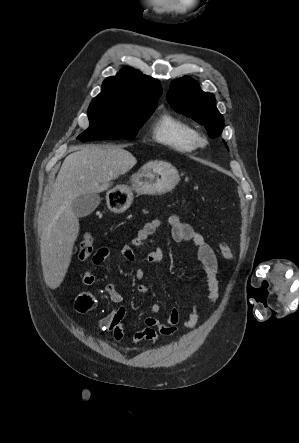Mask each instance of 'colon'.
Here are the masks:
<instances>
[{"mask_svg":"<svg viewBox=\"0 0 299 443\" xmlns=\"http://www.w3.org/2000/svg\"><path fill=\"white\" fill-rule=\"evenodd\" d=\"M93 251V238L90 234H86L79 246V259L84 261L90 257ZM219 251L221 255L227 259L232 260L234 255L229 246L225 243H219Z\"/></svg>","mask_w":299,"mask_h":443,"instance_id":"5ec220e1","label":"colon"}]
</instances>
